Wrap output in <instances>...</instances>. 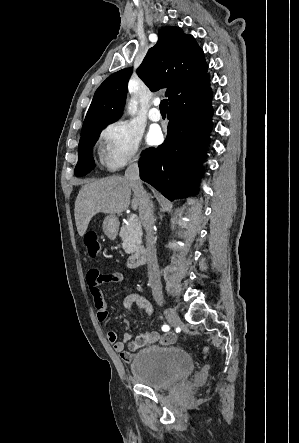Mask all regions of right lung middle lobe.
Masks as SVG:
<instances>
[{"mask_svg":"<svg viewBox=\"0 0 299 443\" xmlns=\"http://www.w3.org/2000/svg\"><path fill=\"white\" fill-rule=\"evenodd\" d=\"M104 127L105 126L96 128L81 136L79 142V159L74 171L76 176H84L95 168L92 148Z\"/></svg>","mask_w":299,"mask_h":443,"instance_id":"1","label":"right lung middle lobe"}]
</instances>
